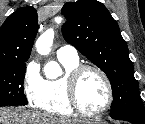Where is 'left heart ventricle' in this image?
<instances>
[{"label": "left heart ventricle", "instance_id": "obj_1", "mask_svg": "<svg viewBox=\"0 0 145 124\" xmlns=\"http://www.w3.org/2000/svg\"><path fill=\"white\" fill-rule=\"evenodd\" d=\"M79 100L86 112L99 111L107 101V89L101 77L93 71L83 74L78 86Z\"/></svg>", "mask_w": 145, "mask_h": 124}]
</instances>
